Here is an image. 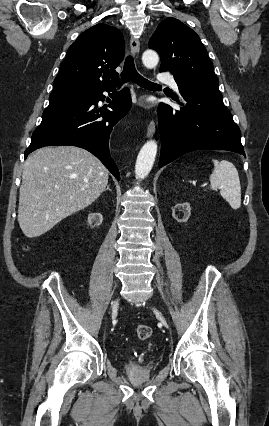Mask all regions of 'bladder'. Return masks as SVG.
<instances>
[{"label": "bladder", "instance_id": "bladder-1", "mask_svg": "<svg viewBox=\"0 0 269 426\" xmlns=\"http://www.w3.org/2000/svg\"><path fill=\"white\" fill-rule=\"evenodd\" d=\"M131 363H132V364H134L135 362H134V361H132Z\"/></svg>", "mask_w": 269, "mask_h": 426}]
</instances>
